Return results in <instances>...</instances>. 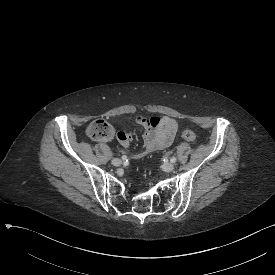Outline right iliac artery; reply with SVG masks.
Here are the masks:
<instances>
[{"instance_id":"1","label":"right iliac artery","mask_w":275,"mask_h":275,"mask_svg":"<svg viewBox=\"0 0 275 275\" xmlns=\"http://www.w3.org/2000/svg\"><path fill=\"white\" fill-rule=\"evenodd\" d=\"M122 159L125 160V156H123Z\"/></svg>"}]
</instances>
